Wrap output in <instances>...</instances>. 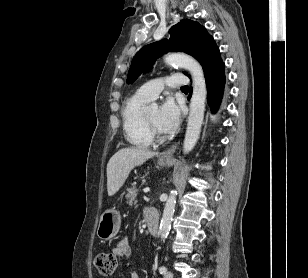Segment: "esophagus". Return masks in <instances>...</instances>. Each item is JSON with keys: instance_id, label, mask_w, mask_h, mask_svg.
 <instances>
[{"instance_id": "esophagus-1", "label": "esophagus", "mask_w": 308, "mask_h": 278, "mask_svg": "<svg viewBox=\"0 0 308 278\" xmlns=\"http://www.w3.org/2000/svg\"><path fill=\"white\" fill-rule=\"evenodd\" d=\"M179 142H175L172 144V146L170 148H168L166 151H164L161 155H160V160H164V161H169L172 159L173 154L175 153L177 147H178Z\"/></svg>"}]
</instances>
